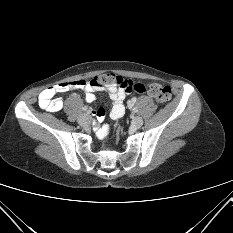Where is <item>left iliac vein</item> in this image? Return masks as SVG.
Returning a JSON list of instances; mask_svg holds the SVG:
<instances>
[{"mask_svg":"<svg viewBox=\"0 0 233 233\" xmlns=\"http://www.w3.org/2000/svg\"><path fill=\"white\" fill-rule=\"evenodd\" d=\"M132 123L135 127L139 128L143 125V119L140 116L133 118Z\"/></svg>","mask_w":233,"mask_h":233,"instance_id":"1","label":"left iliac vein"}]
</instances>
